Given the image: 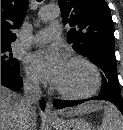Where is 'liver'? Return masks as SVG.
Wrapping results in <instances>:
<instances>
[{
    "mask_svg": "<svg viewBox=\"0 0 123 130\" xmlns=\"http://www.w3.org/2000/svg\"><path fill=\"white\" fill-rule=\"evenodd\" d=\"M23 108V99L20 95L1 86V130H19L21 124V113ZM97 106L93 104H84L69 111H65L67 117L90 113ZM30 130H36V113L32 111L30 117Z\"/></svg>",
    "mask_w": 123,
    "mask_h": 130,
    "instance_id": "liver-1",
    "label": "liver"
}]
</instances>
